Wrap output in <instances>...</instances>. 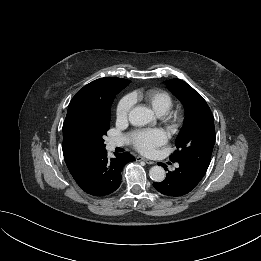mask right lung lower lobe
<instances>
[{
  "label": "right lung lower lobe",
  "mask_w": 261,
  "mask_h": 261,
  "mask_svg": "<svg viewBox=\"0 0 261 261\" xmlns=\"http://www.w3.org/2000/svg\"><path fill=\"white\" fill-rule=\"evenodd\" d=\"M131 161H135V158L127 152L109 159L107 151L102 150L69 171L83 191L93 196H106L120 186L121 171Z\"/></svg>",
  "instance_id": "obj_1"
}]
</instances>
